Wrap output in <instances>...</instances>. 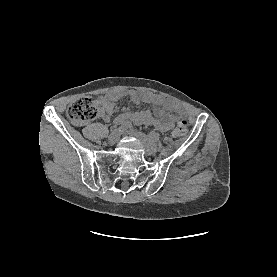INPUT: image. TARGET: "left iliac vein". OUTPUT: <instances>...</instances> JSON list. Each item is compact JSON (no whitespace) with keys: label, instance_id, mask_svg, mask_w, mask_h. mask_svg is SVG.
Masks as SVG:
<instances>
[{"label":"left iliac vein","instance_id":"4c4485c4","mask_svg":"<svg viewBox=\"0 0 277 277\" xmlns=\"http://www.w3.org/2000/svg\"><path fill=\"white\" fill-rule=\"evenodd\" d=\"M128 132L141 141L147 155H155L157 153V144L153 142L147 135L134 129H130Z\"/></svg>","mask_w":277,"mask_h":277}]
</instances>
